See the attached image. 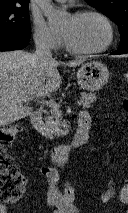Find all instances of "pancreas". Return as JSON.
Instances as JSON below:
<instances>
[{"mask_svg": "<svg viewBox=\"0 0 128 213\" xmlns=\"http://www.w3.org/2000/svg\"><path fill=\"white\" fill-rule=\"evenodd\" d=\"M81 96L79 104L83 108H89L97 98L96 95L88 93H81ZM68 132V125L62 121L61 111L59 109H51L50 115L45 118V135L53 139L54 137L67 135Z\"/></svg>", "mask_w": 128, "mask_h": 213, "instance_id": "pancreas-1", "label": "pancreas"}]
</instances>
